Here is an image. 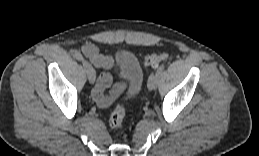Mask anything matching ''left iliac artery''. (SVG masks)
<instances>
[{
  "label": "left iliac artery",
  "mask_w": 259,
  "mask_h": 156,
  "mask_svg": "<svg viewBox=\"0 0 259 156\" xmlns=\"http://www.w3.org/2000/svg\"><path fill=\"white\" fill-rule=\"evenodd\" d=\"M164 68H165V65L164 64H162L159 68H158V70L156 71V74H155V76H156V78H155V85H158L159 84V80H160V78H161V73H162V71L164 70Z\"/></svg>",
  "instance_id": "left-iliac-artery-1"
}]
</instances>
